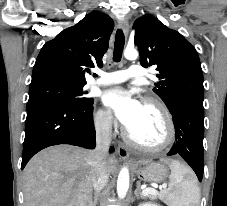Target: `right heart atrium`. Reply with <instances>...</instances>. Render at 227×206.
<instances>
[{
	"instance_id": "1",
	"label": "right heart atrium",
	"mask_w": 227,
	"mask_h": 206,
	"mask_svg": "<svg viewBox=\"0 0 227 206\" xmlns=\"http://www.w3.org/2000/svg\"><path fill=\"white\" fill-rule=\"evenodd\" d=\"M94 123L97 129L108 131L113 125V117L109 111L98 109L94 114Z\"/></svg>"
}]
</instances>
